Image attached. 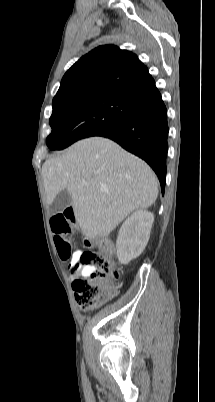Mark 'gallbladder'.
<instances>
[{
    "mask_svg": "<svg viewBox=\"0 0 215 402\" xmlns=\"http://www.w3.org/2000/svg\"><path fill=\"white\" fill-rule=\"evenodd\" d=\"M72 203L70 194L66 190H62L57 194L53 202L49 206L51 214H57L68 208Z\"/></svg>",
    "mask_w": 215,
    "mask_h": 402,
    "instance_id": "gallbladder-1",
    "label": "gallbladder"
}]
</instances>
